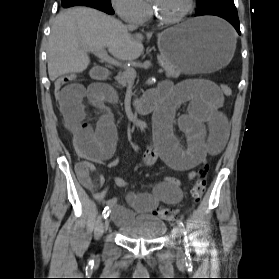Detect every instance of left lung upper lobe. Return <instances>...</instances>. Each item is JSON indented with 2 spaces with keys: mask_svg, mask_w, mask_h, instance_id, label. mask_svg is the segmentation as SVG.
Segmentation results:
<instances>
[{
  "mask_svg": "<svg viewBox=\"0 0 279 279\" xmlns=\"http://www.w3.org/2000/svg\"><path fill=\"white\" fill-rule=\"evenodd\" d=\"M198 7L204 6L205 4H207L208 2L212 1V0H196Z\"/></svg>",
  "mask_w": 279,
  "mask_h": 279,
  "instance_id": "5c2ea615",
  "label": "left lung upper lobe"
}]
</instances>
